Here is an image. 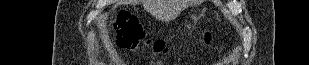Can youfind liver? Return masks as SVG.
Listing matches in <instances>:
<instances>
[{
	"label": "liver",
	"instance_id": "1",
	"mask_svg": "<svg viewBox=\"0 0 309 65\" xmlns=\"http://www.w3.org/2000/svg\"><path fill=\"white\" fill-rule=\"evenodd\" d=\"M144 5H145V7H146L147 9H149L150 11H153V10H155V8H156V5L153 4L151 1H146V2L144 3Z\"/></svg>",
	"mask_w": 309,
	"mask_h": 65
}]
</instances>
